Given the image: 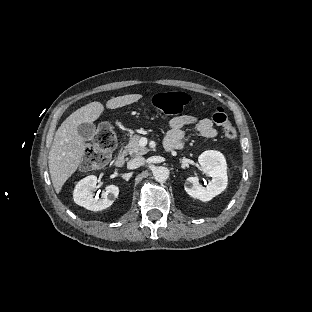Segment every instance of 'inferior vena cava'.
I'll use <instances>...</instances> for the list:
<instances>
[{
    "label": "inferior vena cava",
    "instance_id": "obj_1",
    "mask_svg": "<svg viewBox=\"0 0 312 312\" xmlns=\"http://www.w3.org/2000/svg\"><path fill=\"white\" fill-rule=\"evenodd\" d=\"M145 158L143 157H135L128 162V167L130 169H136L145 165Z\"/></svg>",
    "mask_w": 312,
    "mask_h": 312
}]
</instances>
